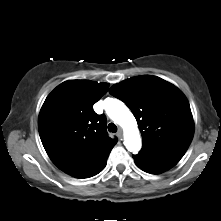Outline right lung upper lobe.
I'll return each instance as SVG.
<instances>
[{"label":"right lung upper lobe","mask_w":221,"mask_h":221,"mask_svg":"<svg viewBox=\"0 0 221 221\" xmlns=\"http://www.w3.org/2000/svg\"><path fill=\"white\" fill-rule=\"evenodd\" d=\"M108 83L71 80L46 98L38 118L42 144L53 163L74 175L106 158L116 141L106 130V118L93 105L108 91Z\"/></svg>","instance_id":"right-lung-upper-lobe-1"}]
</instances>
